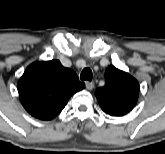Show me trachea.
I'll return each instance as SVG.
<instances>
[{"label":"trachea","instance_id":"3493384b","mask_svg":"<svg viewBox=\"0 0 165 154\" xmlns=\"http://www.w3.org/2000/svg\"><path fill=\"white\" fill-rule=\"evenodd\" d=\"M92 71L90 68L86 67L82 70L81 74H80V78L81 80H87V81H91L92 80Z\"/></svg>","mask_w":165,"mask_h":154}]
</instances>
